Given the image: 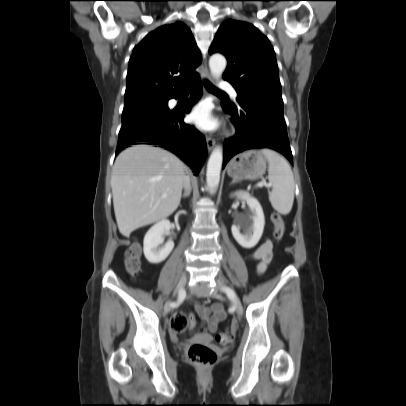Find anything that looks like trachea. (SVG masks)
<instances>
[{"mask_svg": "<svg viewBox=\"0 0 406 406\" xmlns=\"http://www.w3.org/2000/svg\"><path fill=\"white\" fill-rule=\"evenodd\" d=\"M205 88L213 93L225 94L223 91L216 88L211 82L205 81ZM191 90L190 86H186L182 89L183 92H189Z\"/></svg>", "mask_w": 406, "mask_h": 406, "instance_id": "trachea-1", "label": "trachea"}]
</instances>
